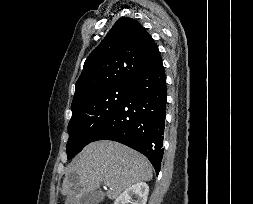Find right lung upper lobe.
I'll return each instance as SVG.
<instances>
[{
	"label": "right lung upper lobe",
	"mask_w": 253,
	"mask_h": 204,
	"mask_svg": "<svg viewBox=\"0 0 253 204\" xmlns=\"http://www.w3.org/2000/svg\"><path fill=\"white\" fill-rule=\"evenodd\" d=\"M158 53L138 21L121 17L86 59L72 105L106 88L130 84Z\"/></svg>",
	"instance_id": "right-lung-upper-lobe-1"
}]
</instances>
